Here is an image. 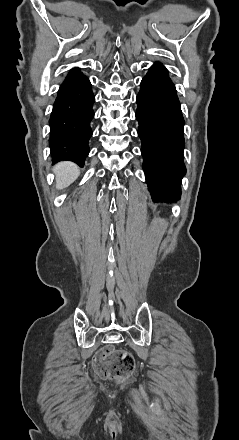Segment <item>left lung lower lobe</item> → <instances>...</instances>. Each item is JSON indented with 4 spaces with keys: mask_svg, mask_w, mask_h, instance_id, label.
<instances>
[{
    "mask_svg": "<svg viewBox=\"0 0 239 440\" xmlns=\"http://www.w3.org/2000/svg\"><path fill=\"white\" fill-rule=\"evenodd\" d=\"M137 95L136 118L142 141L143 169L154 201H174L181 196L184 119L168 70L155 63L142 79Z\"/></svg>",
    "mask_w": 239,
    "mask_h": 440,
    "instance_id": "obj_1",
    "label": "left lung lower lobe"
}]
</instances>
